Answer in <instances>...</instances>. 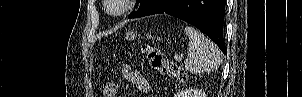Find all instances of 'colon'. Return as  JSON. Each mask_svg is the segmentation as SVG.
Instances as JSON below:
<instances>
[{
  "label": "colon",
  "instance_id": "5ec220e1",
  "mask_svg": "<svg viewBox=\"0 0 302 97\" xmlns=\"http://www.w3.org/2000/svg\"><path fill=\"white\" fill-rule=\"evenodd\" d=\"M142 50L146 54L152 69L169 77L175 78L179 82L187 81L188 76L186 72L177 64L165 60L162 53L153 45L145 43L142 46ZM102 94L104 97H115V84L112 82H105L102 86Z\"/></svg>",
  "mask_w": 302,
  "mask_h": 97
}]
</instances>
